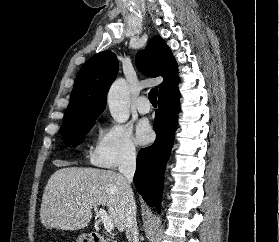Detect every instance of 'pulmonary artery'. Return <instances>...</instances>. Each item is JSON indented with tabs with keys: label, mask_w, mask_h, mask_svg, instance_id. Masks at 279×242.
<instances>
[{
	"label": "pulmonary artery",
	"mask_w": 279,
	"mask_h": 242,
	"mask_svg": "<svg viewBox=\"0 0 279 242\" xmlns=\"http://www.w3.org/2000/svg\"><path fill=\"white\" fill-rule=\"evenodd\" d=\"M136 108H137L138 112L141 114H146V113L150 112L151 106L149 104L147 97L140 96L137 100Z\"/></svg>",
	"instance_id": "e3ab8cb5"
}]
</instances>
